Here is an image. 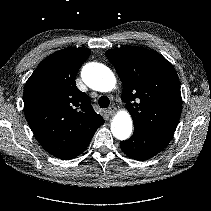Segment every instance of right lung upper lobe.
<instances>
[{
  "instance_id": "right-lung-upper-lobe-1",
  "label": "right lung upper lobe",
  "mask_w": 211,
  "mask_h": 211,
  "mask_svg": "<svg viewBox=\"0 0 211 211\" xmlns=\"http://www.w3.org/2000/svg\"><path fill=\"white\" fill-rule=\"evenodd\" d=\"M88 48L69 47L45 58L27 80L24 113L41 146L62 158L91 140L104 123L75 78L90 55Z\"/></svg>"
}]
</instances>
